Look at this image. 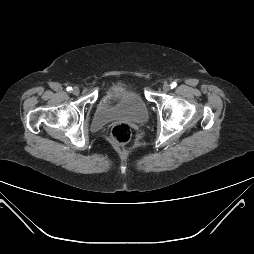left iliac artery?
Wrapping results in <instances>:
<instances>
[{"mask_svg": "<svg viewBox=\"0 0 254 254\" xmlns=\"http://www.w3.org/2000/svg\"><path fill=\"white\" fill-rule=\"evenodd\" d=\"M177 86L176 82H172L171 88H175Z\"/></svg>", "mask_w": 254, "mask_h": 254, "instance_id": "44dca946", "label": "left iliac artery"}]
</instances>
